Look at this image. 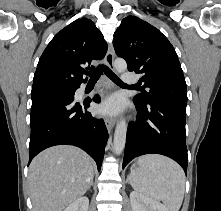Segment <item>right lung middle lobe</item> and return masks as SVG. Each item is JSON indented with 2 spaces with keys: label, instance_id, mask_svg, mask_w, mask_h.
<instances>
[{
  "label": "right lung middle lobe",
  "instance_id": "right-lung-middle-lobe-1",
  "mask_svg": "<svg viewBox=\"0 0 221 211\" xmlns=\"http://www.w3.org/2000/svg\"><path fill=\"white\" fill-rule=\"evenodd\" d=\"M73 93L74 91L71 88H49V89L32 91L31 95L33 102L57 94L72 95Z\"/></svg>",
  "mask_w": 221,
  "mask_h": 211
}]
</instances>
